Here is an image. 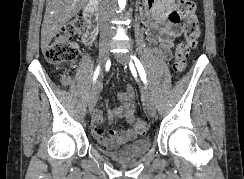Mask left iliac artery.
Masks as SVG:
<instances>
[{
  "instance_id": "1",
  "label": "left iliac artery",
  "mask_w": 244,
  "mask_h": 179,
  "mask_svg": "<svg viewBox=\"0 0 244 179\" xmlns=\"http://www.w3.org/2000/svg\"><path fill=\"white\" fill-rule=\"evenodd\" d=\"M131 59L134 60L135 62V65L138 69V72L140 74V77L142 79V81L146 84L147 83V80H146V74H145V71H144V68H143V65L141 64V62L137 59L136 56H131ZM132 67V64L130 63V68Z\"/></svg>"
}]
</instances>
